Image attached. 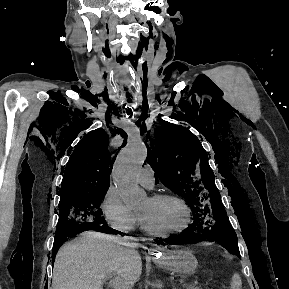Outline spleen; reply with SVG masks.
I'll return each mask as SVG.
<instances>
[{"label": "spleen", "mask_w": 289, "mask_h": 289, "mask_svg": "<svg viewBox=\"0 0 289 289\" xmlns=\"http://www.w3.org/2000/svg\"><path fill=\"white\" fill-rule=\"evenodd\" d=\"M230 286H231V289H241L242 281H241L240 275L238 273H235L232 276Z\"/></svg>", "instance_id": "spleen-1"}]
</instances>
